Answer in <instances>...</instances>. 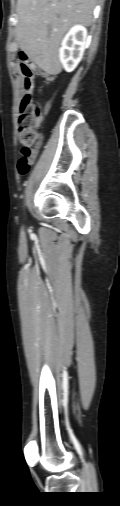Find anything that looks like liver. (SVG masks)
I'll return each instance as SVG.
<instances>
[{"label":"liver","instance_id":"liver-1","mask_svg":"<svg viewBox=\"0 0 120 506\" xmlns=\"http://www.w3.org/2000/svg\"><path fill=\"white\" fill-rule=\"evenodd\" d=\"M97 0H17V43L28 58L49 74L61 71L59 46L68 29L90 26Z\"/></svg>","mask_w":120,"mask_h":506}]
</instances>
